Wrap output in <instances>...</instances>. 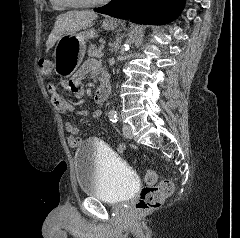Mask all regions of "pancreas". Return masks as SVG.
<instances>
[{"label":"pancreas","mask_w":240,"mask_h":238,"mask_svg":"<svg viewBox=\"0 0 240 238\" xmlns=\"http://www.w3.org/2000/svg\"><path fill=\"white\" fill-rule=\"evenodd\" d=\"M99 50L96 49L95 45H91L88 50V56L89 57H96Z\"/></svg>","instance_id":"1"}]
</instances>
